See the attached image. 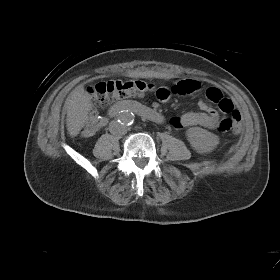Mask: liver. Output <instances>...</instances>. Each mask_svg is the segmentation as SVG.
<instances>
[{
    "label": "liver",
    "mask_w": 280,
    "mask_h": 280,
    "mask_svg": "<svg viewBox=\"0 0 280 280\" xmlns=\"http://www.w3.org/2000/svg\"><path fill=\"white\" fill-rule=\"evenodd\" d=\"M67 131L74 137L80 132L92 108L91 97L82 86L77 87L67 99Z\"/></svg>",
    "instance_id": "liver-1"
}]
</instances>
